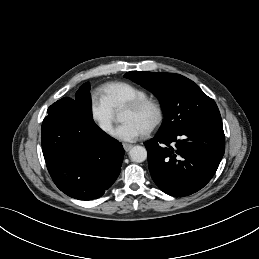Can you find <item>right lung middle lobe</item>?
Instances as JSON below:
<instances>
[{
    "label": "right lung middle lobe",
    "instance_id": "obj_1",
    "mask_svg": "<svg viewBox=\"0 0 259 259\" xmlns=\"http://www.w3.org/2000/svg\"><path fill=\"white\" fill-rule=\"evenodd\" d=\"M90 84L87 82L83 84L76 93L75 103L80 109L81 113L88 119H92L91 112V97Z\"/></svg>",
    "mask_w": 259,
    "mask_h": 259
}]
</instances>
